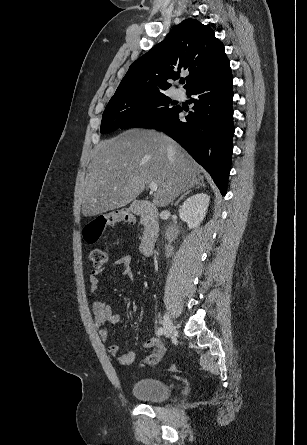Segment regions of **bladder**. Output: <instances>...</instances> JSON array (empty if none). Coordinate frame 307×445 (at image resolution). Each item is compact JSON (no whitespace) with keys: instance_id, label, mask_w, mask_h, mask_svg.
<instances>
[{"instance_id":"31cf9c89","label":"bladder","mask_w":307,"mask_h":445,"mask_svg":"<svg viewBox=\"0 0 307 445\" xmlns=\"http://www.w3.org/2000/svg\"><path fill=\"white\" fill-rule=\"evenodd\" d=\"M172 386L158 378H141L132 385L133 395L147 402H161L168 399L172 394Z\"/></svg>"}]
</instances>
